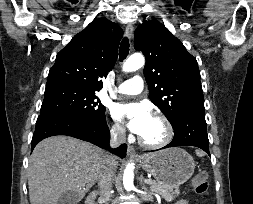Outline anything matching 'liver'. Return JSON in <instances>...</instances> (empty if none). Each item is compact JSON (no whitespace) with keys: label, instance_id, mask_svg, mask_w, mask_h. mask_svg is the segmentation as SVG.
I'll return each mask as SVG.
<instances>
[{"label":"liver","instance_id":"obj_1","mask_svg":"<svg viewBox=\"0 0 253 204\" xmlns=\"http://www.w3.org/2000/svg\"><path fill=\"white\" fill-rule=\"evenodd\" d=\"M109 154L82 140L52 136L33 150L28 167L31 204H58L67 193L76 194V203L99 181ZM115 166L118 158L112 156Z\"/></svg>","mask_w":253,"mask_h":204}]
</instances>
